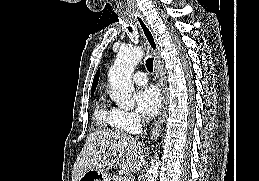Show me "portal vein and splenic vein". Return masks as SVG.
Here are the masks:
<instances>
[{
	"instance_id": "obj_1",
	"label": "portal vein and splenic vein",
	"mask_w": 259,
	"mask_h": 181,
	"mask_svg": "<svg viewBox=\"0 0 259 181\" xmlns=\"http://www.w3.org/2000/svg\"><path fill=\"white\" fill-rule=\"evenodd\" d=\"M119 181H130V179L126 176L121 177Z\"/></svg>"
}]
</instances>
